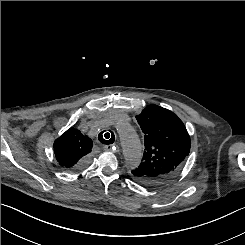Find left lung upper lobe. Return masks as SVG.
<instances>
[{
	"label": "left lung upper lobe",
	"instance_id": "left-lung-upper-lobe-1",
	"mask_svg": "<svg viewBox=\"0 0 245 245\" xmlns=\"http://www.w3.org/2000/svg\"><path fill=\"white\" fill-rule=\"evenodd\" d=\"M136 119L144 133L145 151L132 177L145 186L162 185L177 175L189 155V134L176 114L157 105L147 106Z\"/></svg>",
	"mask_w": 245,
	"mask_h": 245
}]
</instances>
